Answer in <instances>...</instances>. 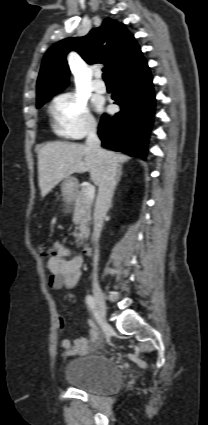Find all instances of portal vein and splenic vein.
Listing matches in <instances>:
<instances>
[{
    "label": "portal vein and splenic vein",
    "instance_id": "18ae733b",
    "mask_svg": "<svg viewBox=\"0 0 208 425\" xmlns=\"http://www.w3.org/2000/svg\"><path fill=\"white\" fill-rule=\"evenodd\" d=\"M85 194L88 198H94L95 187L93 185L87 186Z\"/></svg>",
    "mask_w": 208,
    "mask_h": 425
}]
</instances>
